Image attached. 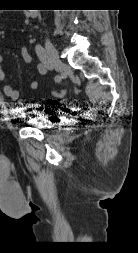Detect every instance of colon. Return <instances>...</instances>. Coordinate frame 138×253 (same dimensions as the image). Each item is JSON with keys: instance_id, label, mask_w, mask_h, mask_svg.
Masks as SVG:
<instances>
[{"instance_id": "5ec220e1", "label": "colon", "mask_w": 138, "mask_h": 253, "mask_svg": "<svg viewBox=\"0 0 138 253\" xmlns=\"http://www.w3.org/2000/svg\"><path fill=\"white\" fill-rule=\"evenodd\" d=\"M64 93H65L64 90L58 91V92H56V96H59V97H60V96H63Z\"/></svg>"}]
</instances>
